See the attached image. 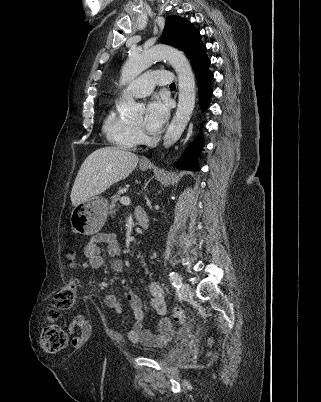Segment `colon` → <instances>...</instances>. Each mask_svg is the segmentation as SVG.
I'll return each mask as SVG.
<instances>
[{"instance_id": "5ec220e1", "label": "colon", "mask_w": 321, "mask_h": 402, "mask_svg": "<svg viewBox=\"0 0 321 402\" xmlns=\"http://www.w3.org/2000/svg\"><path fill=\"white\" fill-rule=\"evenodd\" d=\"M73 264V252H70V261ZM76 303L75 286L63 288L57 291L52 299L51 308L48 311V319L43 324L40 334V345L42 350L47 354H55L68 345L69 336L59 325L55 323L60 314L64 311H69L74 308ZM172 315L174 319L184 324L186 315L183 310L175 308Z\"/></svg>"}]
</instances>
